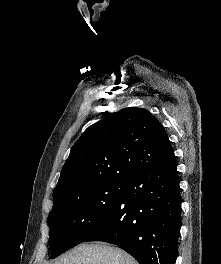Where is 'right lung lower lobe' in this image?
Returning <instances> with one entry per match:
<instances>
[{
    "label": "right lung lower lobe",
    "instance_id": "right-lung-lower-lobe-1",
    "mask_svg": "<svg viewBox=\"0 0 221 264\" xmlns=\"http://www.w3.org/2000/svg\"><path fill=\"white\" fill-rule=\"evenodd\" d=\"M181 199L175 158L125 181L111 212L82 241L115 244L140 264H175Z\"/></svg>",
    "mask_w": 221,
    "mask_h": 264
}]
</instances>
